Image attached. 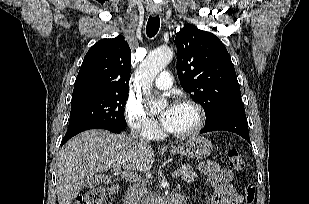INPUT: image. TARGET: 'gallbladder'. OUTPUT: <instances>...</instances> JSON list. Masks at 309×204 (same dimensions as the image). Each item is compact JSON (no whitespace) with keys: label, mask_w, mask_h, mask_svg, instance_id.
I'll list each match as a JSON object with an SVG mask.
<instances>
[{"label":"gallbladder","mask_w":309,"mask_h":204,"mask_svg":"<svg viewBox=\"0 0 309 204\" xmlns=\"http://www.w3.org/2000/svg\"><path fill=\"white\" fill-rule=\"evenodd\" d=\"M110 179L104 175H94L83 182V186L86 188H93L99 185L101 182L109 181Z\"/></svg>","instance_id":"bac80fb5"}]
</instances>
